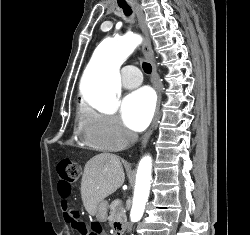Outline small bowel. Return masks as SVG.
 <instances>
[{
	"label": "small bowel",
	"mask_w": 250,
	"mask_h": 235,
	"mask_svg": "<svg viewBox=\"0 0 250 235\" xmlns=\"http://www.w3.org/2000/svg\"><path fill=\"white\" fill-rule=\"evenodd\" d=\"M67 200L65 203H67ZM80 235H101V232L97 228H94V227L92 228L85 227L84 230L80 232Z\"/></svg>",
	"instance_id": "1"
}]
</instances>
